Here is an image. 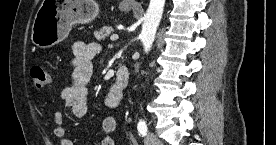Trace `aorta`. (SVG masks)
<instances>
[{"label": "aorta", "mask_w": 276, "mask_h": 145, "mask_svg": "<svg viewBox=\"0 0 276 145\" xmlns=\"http://www.w3.org/2000/svg\"><path fill=\"white\" fill-rule=\"evenodd\" d=\"M164 5L165 0H150L140 34L144 51L146 53L150 51L154 42L156 31L162 18Z\"/></svg>", "instance_id": "aorta-1"}]
</instances>
